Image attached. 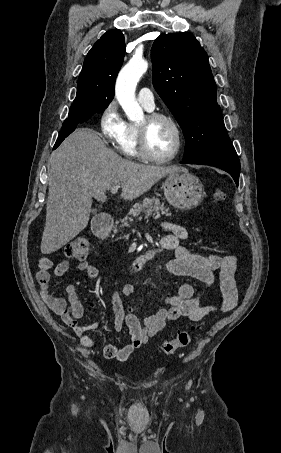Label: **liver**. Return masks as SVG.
Instances as JSON below:
<instances>
[{
	"label": "liver",
	"mask_w": 281,
	"mask_h": 453,
	"mask_svg": "<svg viewBox=\"0 0 281 453\" xmlns=\"http://www.w3.org/2000/svg\"><path fill=\"white\" fill-rule=\"evenodd\" d=\"M49 162L43 255L55 253L87 227L92 198L105 202L111 186L121 184L120 196L133 200L166 174L187 170L126 160L108 148L93 128H76L52 152Z\"/></svg>",
	"instance_id": "1"
}]
</instances>
